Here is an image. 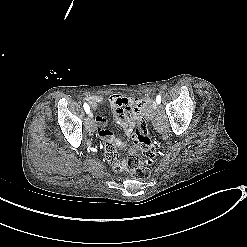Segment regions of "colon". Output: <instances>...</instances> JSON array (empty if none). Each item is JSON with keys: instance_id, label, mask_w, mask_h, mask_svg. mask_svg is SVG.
<instances>
[{"instance_id": "colon-1", "label": "colon", "mask_w": 247, "mask_h": 247, "mask_svg": "<svg viewBox=\"0 0 247 247\" xmlns=\"http://www.w3.org/2000/svg\"><path fill=\"white\" fill-rule=\"evenodd\" d=\"M136 144L130 148L126 158L125 173H134L139 180L145 181L150 178V165L158 154L157 146L151 138L143 118L137 123L135 130Z\"/></svg>"}]
</instances>
